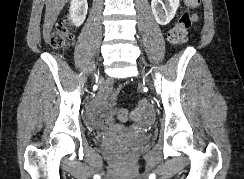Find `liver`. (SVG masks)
<instances>
[{
    "label": "liver",
    "mask_w": 244,
    "mask_h": 179,
    "mask_svg": "<svg viewBox=\"0 0 244 179\" xmlns=\"http://www.w3.org/2000/svg\"><path fill=\"white\" fill-rule=\"evenodd\" d=\"M67 0H46V12L43 24V40L49 42L50 32Z\"/></svg>",
    "instance_id": "6515ba94"
}]
</instances>
